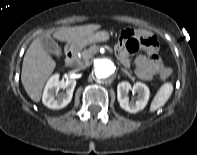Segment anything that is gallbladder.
<instances>
[{"label":"gallbladder","instance_id":"bac80fb5","mask_svg":"<svg viewBox=\"0 0 197 155\" xmlns=\"http://www.w3.org/2000/svg\"><path fill=\"white\" fill-rule=\"evenodd\" d=\"M43 48L50 54L60 57L62 55L61 49L57 42L50 37H43L41 39Z\"/></svg>","mask_w":197,"mask_h":155}]
</instances>
